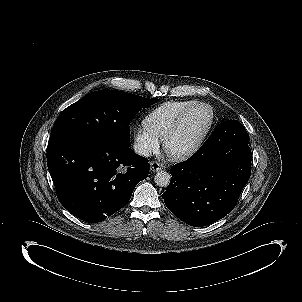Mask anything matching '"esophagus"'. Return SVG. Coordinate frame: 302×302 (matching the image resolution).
Returning a JSON list of instances; mask_svg holds the SVG:
<instances>
[{
  "mask_svg": "<svg viewBox=\"0 0 302 302\" xmlns=\"http://www.w3.org/2000/svg\"><path fill=\"white\" fill-rule=\"evenodd\" d=\"M163 164L157 161L150 162V168L152 172H157L163 169Z\"/></svg>",
  "mask_w": 302,
  "mask_h": 302,
  "instance_id": "obj_1",
  "label": "esophagus"
}]
</instances>
